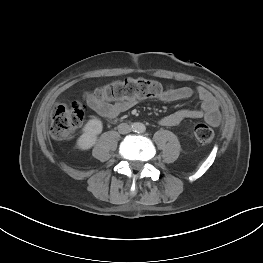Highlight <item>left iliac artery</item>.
Returning <instances> with one entry per match:
<instances>
[{"label": "left iliac artery", "mask_w": 263, "mask_h": 263, "mask_svg": "<svg viewBox=\"0 0 263 263\" xmlns=\"http://www.w3.org/2000/svg\"><path fill=\"white\" fill-rule=\"evenodd\" d=\"M144 130V128H141V132Z\"/></svg>", "instance_id": "44dca946"}]
</instances>
